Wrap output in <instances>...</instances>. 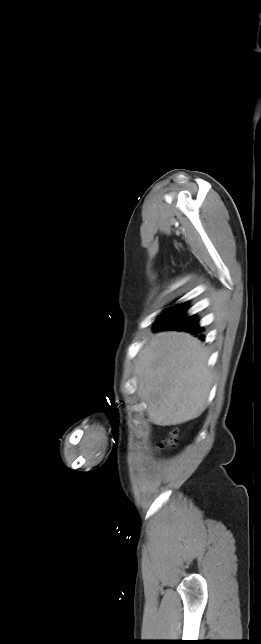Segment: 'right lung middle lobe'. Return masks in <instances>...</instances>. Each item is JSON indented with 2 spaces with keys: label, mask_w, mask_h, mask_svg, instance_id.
I'll return each mask as SVG.
<instances>
[{
  "label": "right lung middle lobe",
  "mask_w": 261,
  "mask_h": 644,
  "mask_svg": "<svg viewBox=\"0 0 261 644\" xmlns=\"http://www.w3.org/2000/svg\"><path fill=\"white\" fill-rule=\"evenodd\" d=\"M185 304H186V303H183V304H181V305L175 306V307H173V308H171V309H169V310L165 311V312H164V313L159 317V319H158V320H161V319H163V318L167 317L168 315L172 314L173 312H175V311L179 310V309H180V308H182Z\"/></svg>",
  "instance_id": "dd1d6c3e"
}]
</instances>
